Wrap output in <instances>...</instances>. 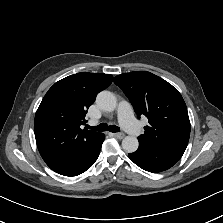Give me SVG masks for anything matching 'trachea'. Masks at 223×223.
Here are the masks:
<instances>
[{
  "label": "trachea",
  "mask_w": 223,
  "mask_h": 223,
  "mask_svg": "<svg viewBox=\"0 0 223 223\" xmlns=\"http://www.w3.org/2000/svg\"><path fill=\"white\" fill-rule=\"evenodd\" d=\"M90 129H93L95 131H110V132H113V133H116V132H119L120 131V128L115 126V125H112V126H108L106 123H101L99 124L98 126H95V127H90Z\"/></svg>",
  "instance_id": "obj_1"
}]
</instances>
